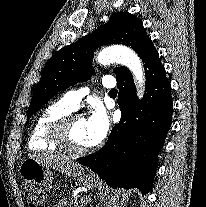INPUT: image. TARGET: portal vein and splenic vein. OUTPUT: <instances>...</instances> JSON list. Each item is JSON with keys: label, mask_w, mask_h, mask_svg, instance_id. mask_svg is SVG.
Segmentation results:
<instances>
[{"label": "portal vein and splenic vein", "mask_w": 206, "mask_h": 207, "mask_svg": "<svg viewBox=\"0 0 206 207\" xmlns=\"http://www.w3.org/2000/svg\"><path fill=\"white\" fill-rule=\"evenodd\" d=\"M87 200L85 198H82L81 199V202H86Z\"/></svg>", "instance_id": "18ae733b"}]
</instances>
